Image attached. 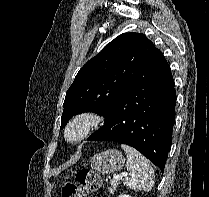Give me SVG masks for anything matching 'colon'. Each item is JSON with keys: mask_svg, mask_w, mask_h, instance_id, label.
Here are the masks:
<instances>
[{"mask_svg": "<svg viewBox=\"0 0 209 197\" xmlns=\"http://www.w3.org/2000/svg\"><path fill=\"white\" fill-rule=\"evenodd\" d=\"M76 183L63 185L62 197H85L89 192L98 190L102 185L101 177L89 170H80L76 175Z\"/></svg>", "mask_w": 209, "mask_h": 197, "instance_id": "colon-1", "label": "colon"}]
</instances>
